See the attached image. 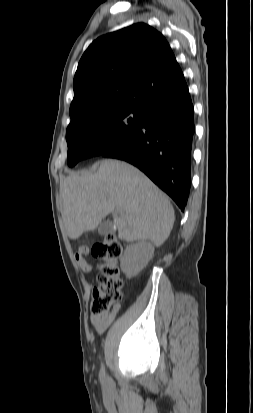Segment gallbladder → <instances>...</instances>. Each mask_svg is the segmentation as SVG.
<instances>
[{
	"mask_svg": "<svg viewBox=\"0 0 253 413\" xmlns=\"http://www.w3.org/2000/svg\"><path fill=\"white\" fill-rule=\"evenodd\" d=\"M114 231H115L114 224L113 222L109 220L103 221L98 227V233L102 236L113 233Z\"/></svg>",
	"mask_w": 253,
	"mask_h": 413,
	"instance_id": "obj_1",
	"label": "gallbladder"
}]
</instances>
